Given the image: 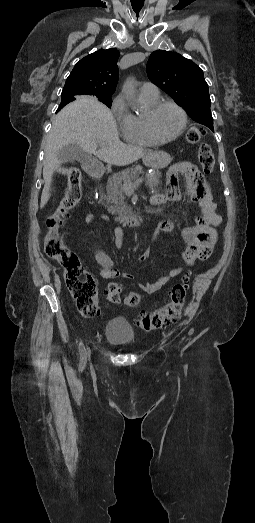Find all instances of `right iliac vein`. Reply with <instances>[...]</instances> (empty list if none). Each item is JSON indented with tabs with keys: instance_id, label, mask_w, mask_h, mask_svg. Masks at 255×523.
Returning <instances> with one entry per match:
<instances>
[{
	"instance_id": "right-iliac-vein-1",
	"label": "right iliac vein",
	"mask_w": 255,
	"mask_h": 523,
	"mask_svg": "<svg viewBox=\"0 0 255 523\" xmlns=\"http://www.w3.org/2000/svg\"><path fill=\"white\" fill-rule=\"evenodd\" d=\"M89 355H90V350H89V348H87V350H86V356H89Z\"/></svg>"
}]
</instances>
